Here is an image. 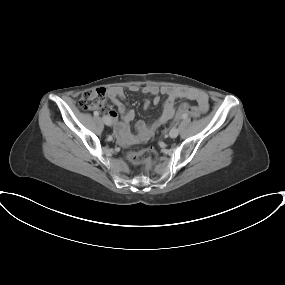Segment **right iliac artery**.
Returning a JSON list of instances; mask_svg holds the SVG:
<instances>
[{
  "label": "right iliac artery",
  "instance_id": "right-iliac-artery-1",
  "mask_svg": "<svg viewBox=\"0 0 285 285\" xmlns=\"http://www.w3.org/2000/svg\"><path fill=\"white\" fill-rule=\"evenodd\" d=\"M95 115H99V113L97 111L94 112Z\"/></svg>",
  "mask_w": 285,
  "mask_h": 285
}]
</instances>
